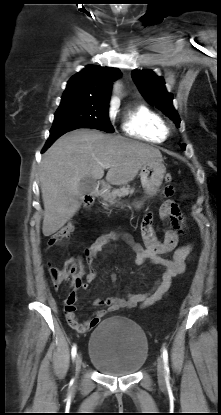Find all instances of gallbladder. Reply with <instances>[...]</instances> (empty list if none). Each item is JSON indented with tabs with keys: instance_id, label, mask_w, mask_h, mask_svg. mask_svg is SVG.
Here are the masks:
<instances>
[{
	"instance_id": "obj_1",
	"label": "gallbladder",
	"mask_w": 221,
	"mask_h": 415,
	"mask_svg": "<svg viewBox=\"0 0 221 415\" xmlns=\"http://www.w3.org/2000/svg\"><path fill=\"white\" fill-rule=\"evenodd\" d=\"M96 187V179L90 176L83 177L79 182V190L82 194L90 193Z\"/></svg>"
}]
</instances>
